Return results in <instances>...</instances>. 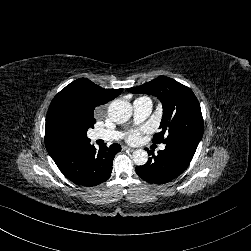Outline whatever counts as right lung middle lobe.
<instances>
[{
  "mask_svg": "<svg viewBox=\"0 0 251 251\" xmlns=\"http://www.w3.org/2000/svg\"><path fill=\"white\" fill-rule=\"evenodd\" d=\"M95 119H84L66 112H53L46 117V127L49 131L61 135L86 137L89 128L94 127Z\"/></svg>",
  "mask_w": 251,
  "mask_h": 251,
  "instance_id": "dd1d6c3e",
  "label": "right lung middle lobe"
}]
</instances>
